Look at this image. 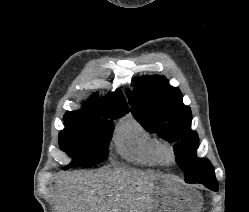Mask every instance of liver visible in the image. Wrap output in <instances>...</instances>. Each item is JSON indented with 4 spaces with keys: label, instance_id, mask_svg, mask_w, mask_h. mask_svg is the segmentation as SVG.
<instances>
[{
    "label": "liver",
    "instance_id": "6515ba94",
    "mask_svg": "<svg viewBox=\"0 0 249 212\" xmlns=\"http://www.w3.org/2000/svg\"><path fill=\"white\" fill-rule=\"evenodd\" d=\"M165 176L142 170L68 172L56 178L59 212H151L152 192Z\"/></svg>",
    "mask_w": 249,
    "mask_h": 212
}]
</instances>
